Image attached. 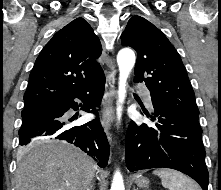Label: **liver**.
Segmentation results:
<instances>
[{
	"label": "liver",
	"instance_id": "obj_1",
	"mask_svg": "<svg viewBox=\"0 0 221 190\" xmlns=\"http://www.w3.org/2000/svg\"><path fill=\"white\" fill-rule=\"evenodd\" d=\"M24 154L15 174L16 190H89L97 169L86 153L65 142L37 141L23 148Z\"/></svg>",
	"mask_w": 221,
	"mask_h": 190
}]
</instances>
